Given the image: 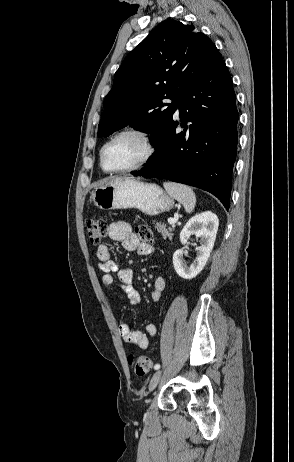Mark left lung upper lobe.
<instances>
[{"label":"left lung upper lobe","mask_w":294,"mask_h":462,"mask_svg":"<svg viewBox=\"0 0 294 462\" xmlns=\"http://www.w3.org/2000/svg\"><path fill=\"white\" fill-rule=\"evenodd\" d=\"M221 58L211 39L194 26L173 19L161 22L117 70L98 135L130 125L153 134L155 145L172 122L185 89ZM165 99L173 102L164 103Z\"/></svg>","instance_id":"1"}]
</instances>
